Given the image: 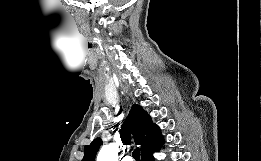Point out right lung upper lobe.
<instances>
[{
	"label": "right lung upper lobe",
	"instance_id": "1",
	"mask_svg": "<svg viewBox=\"0 0 261 161\" xmlns=\"http://www.w3.org/2000/svg\"><path fill=\"white\" fill-rule=\"evenodd\" d=\"M130 131L135 143L141 145V157L160 147L164 142L159 127L153 124L151 117L137 104L132 106L122 127V139L126 143H129ZM101 145L100 138H96L90 145H86L82 161H94Z\"/></svg>",
	"mask_w": 261,
	"mask_h": 161
}]
</instances>
